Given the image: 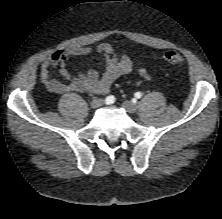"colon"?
I'll use <instances>...</instances> for the list:
<instances>
[{
  "instance_id": "1",
  "label": "colon",
  "mask_w": 222,
  "mask_h": 219,
  "mask_svg": "<svg viewBox=\"0 0 222 219\" xmlns=\"http://www.w3.org/2000/svg\"><path fill=\"white\" fill-rule=\"evenodd\" d=\"M162 59L166 63L171 64V65H175V66H182L184 64L183 56L176 50L166 51L162 55Z\"/></svg>"
}]
</instances>
